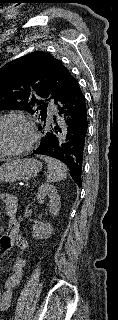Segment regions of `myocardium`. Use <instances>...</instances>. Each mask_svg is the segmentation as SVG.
I'll use <instances>...</instances> for the list:
<instances>
[{
	"mask_svg": "<svg viewBox=\"0 0 118 320\" xmlns=\"http://www.w3.org/2000/svg\"><path fill=\"white\" fill-rule=\"evenodd\" d=\"M8 120H17V121L22 122L28 131V139L25 142V144L19 148H15V149H11V150H3L0 148V156H2V155H20L22 153L29 151L37 139V131H36V128H35L34 124L32 123V121L24 115L15 114V113L0 116V123L3 121H8Z\"/></svg>",
	"mask_w": 118,
	"mask_h": 320,
	"instance_id": "f54148a6",
	"label": "myocardium"
}]
</instances>
